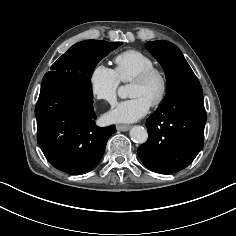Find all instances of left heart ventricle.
<instances>
[{
  "label": "left heart ventricle",
  "mask_w": 236,
  "mask_h": 236,
  "mask_svg": "<svg viewBox=\"0 0 236 236\" xmlns=\"http://www.w3.org/2000/svg\"><path fill=\"white\" fill-rule=\"evenodd\" d=\"M160 89V80L157 77H153L146 83H131L129 86V96L142 97L151 104L158 96Z\"/></svg>",
  "instance_id": "b2bd125f"
}]
</instances>
